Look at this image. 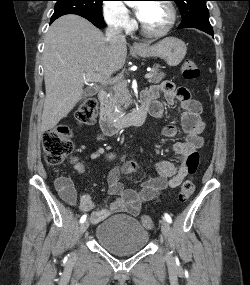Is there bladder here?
<instances>
[{
	"label": "bladder",
	"instance_id": "1",
	"mask_svg": "<svg viewBox=\"0 0 250 285\" xmlns=\"http://www.w3.org/2000/svg\"><path fill=\"white\" fill-rule=\"evenodd\" d=\"M97 242L116 255H127L142 250L148 240V232L133 217L116 215L99 223L96 227Z\"/></svg>",
	"mask_w": 250,
	"mask_h": 285
}]
</instances>
